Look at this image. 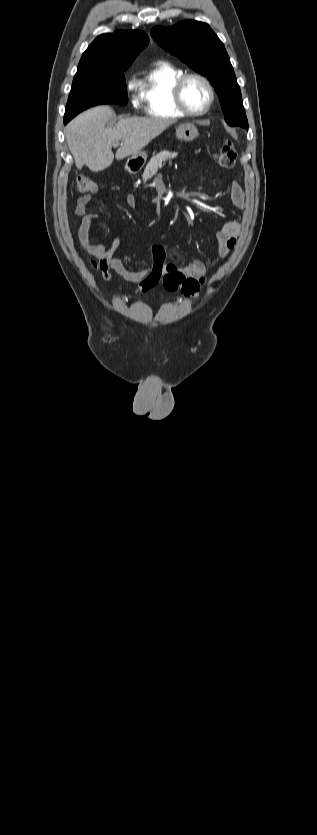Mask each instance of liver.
<instances>
[{
  "label": "liver",
  "instance_id": "liver-1",
  "mask_svg": "<svg viewBox=\"0 0 317 835\" xmlns=\"http://www.w3.org/2000/svg\"><path fill=\"white\" fill-rule=\"evenodd\" d=\"M115 117L108 106L91 108L74 118L66 128V140L77 168L85 164L92 171H101L114 160L112 146L121 143L117 160L138 154L148 143L163 133L172 121L160 118H124L107 128Z\"/></svg>",
  "mask_w": 317,
  "mask_h": 835
}]
</instances>
